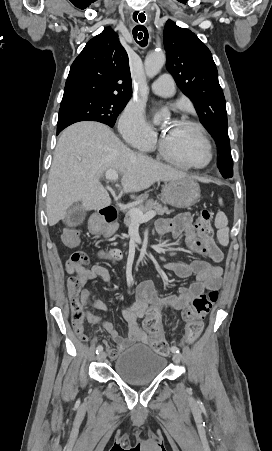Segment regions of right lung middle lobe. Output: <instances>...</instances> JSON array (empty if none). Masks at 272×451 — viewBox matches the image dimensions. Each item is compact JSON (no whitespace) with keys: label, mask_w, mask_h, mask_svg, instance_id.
<instances>
[{"label":"right lung middle lobe","mask_w":272,"mask_h":451,"mask_svg":"<svg viewBox=\"0 0 272 451\" xmlns=\"http://www.w3.org/2000/svg\"><path fill=\"white\" fill-rule=\"evenodd\" d=\"M129 99L115 97H79L60 104L57 131L79 121H98L113 127Z\"/></svg>","instance_id":"1"}]
</instances>
